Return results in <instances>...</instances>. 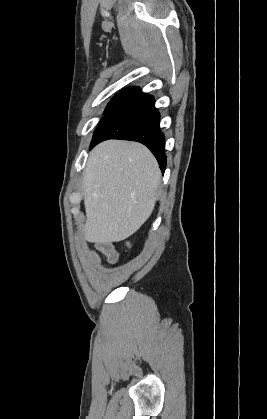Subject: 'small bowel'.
Returning a JSON list of instances; mask_svg holds the SVG:
<instances>
[{"label": "small bowel", "instance_id": "small-bowel-1", "mask_svg": "<svg viewBox=\"0 0 267 419\" xmlns=\"http://www.w3.org/2000/svg\"><path fill=\"white\" fill-rule=\"evenodd\" d=\"M96 249L99 250L103 255H105L107 261L115 265L119 260V254L110 242H99L96 244ZM89 258L93 266H99V257L95 252H89Z\"/></svg>", "mask_w": 267, "mask_h": 419}]
</instances>
